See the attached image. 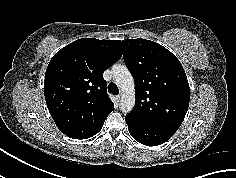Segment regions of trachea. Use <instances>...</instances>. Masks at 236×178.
<instances>
[{
    "label": "trachea",
    "instance_id": "3493384b",
    "mask_svg": "<svg viewBox=\"0 0 236 178\" xmlns=\"http://www.w3.org/2000/svg\"><path fill=\"white\" fill-rule=\"evenodd\" d=\"M108 91L113 94V95H118L119 94V89L115 83H110L108 85Z\"/></svg>",
    "mask_w": 236,
    "mask_h": 178
}]
</instances>
